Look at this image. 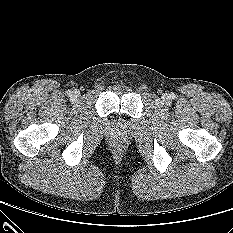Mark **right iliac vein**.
Here are the masks:
<instances>
[{"instance_id": "63e3f726", "label": "right iliac vein", "mask_w": 233, "mask_h": 233, "mask_svg": "<svg viewBox=\"0 0 233 233\" xmlns=\"http://www.w3.org/2000/svg\"><path fill=\"white\" fill-rule=\"evenodd\" d=\"M74 98H78L80 96V91L75 89L72 91V94H71Z\"/></svg>"}]
</instances>
